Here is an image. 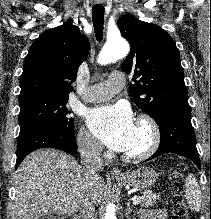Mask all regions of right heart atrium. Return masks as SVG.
Listing matches in <instances>:
<instances>
[{
    "mask_svg": "<svg viewBox=\"0 0 211 219\" xmlns=\"http://www.w3.org/2000/svg\"><path fill=\"white\" fill-rule=\"evenodd\" d=\"M79 150L88 156L100 157L102 155L101 143L88 131L81 128L76 136Z\"/></svg>",
    "mask_w": 211,
    "mask_h": 219,
    "instance_id": "1",
    "label": "right heart atrium"
}]
</instances>
